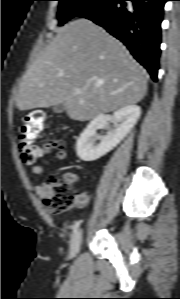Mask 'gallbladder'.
Segmentation results:
<instances>
[{
  "label": "gallbladder",
  "instance_id": "1",
  "mask_svg": "<svg viewBox=\"0 0 180 299\" xmlns=\"http://www.w3.org/2000/svg\"><path fill=\"white\" fill-rule=\"evenodd\" d=\"M64 109H65V107L63 104H58L53 107V112L62 113L64 111Z\"/></svg>",
  "mask_w": 180,
  "mask_h": 299
}]
</instances>
